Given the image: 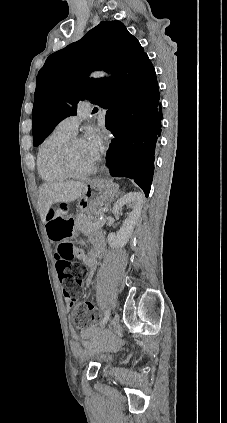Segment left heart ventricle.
Listing matches in <instances>:
<instances>
[{
    "mask_svg": "<svg viewBox=\"0 0 227 423\" xmlns=\"http://www.w3.org/2000/svg\"><path fill=\"white\" fill-rule=\"evenodd\" d=\"M70 163L72 168L77 172L84 171L94 165L90 152L84 142L76 143L73 146L70 153Z\"/></svg>",
    "mask_w": 227,
    "mask_h": 423,
    "instance_id": "obj_1",
    "label": "left heart ventricle"
}]
</instances>
